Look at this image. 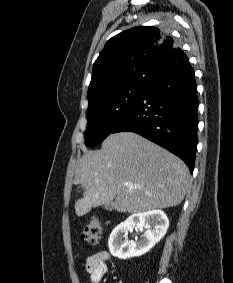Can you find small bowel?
<instances>
[{
    "label": "small bowel",
    "mask_w": 233,
    "mask_h": 283,
    "mask_svg": "<svg viewBox=\"0 0 233 283\" xmlns=\"http://www.w3.org/2000/svg\"><path fill=\"white\" fill-rule=\"evenodd\" d=\"M109 259L110 254L105 250H97L87 258L85 268L90 275L91 283H99L106 275Z\"/></svg>",
    "instance_id": "small-bowel-1"
}]
</instances>
